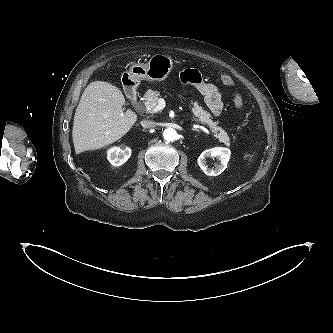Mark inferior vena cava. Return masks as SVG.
Masks as SVG:
<instances>
[{"label": "inferior vena cava", "instance_id": "obj_1", "mask_svg": "<svg viewBox=\"0 0 333 333\" xmlns=\"http://www.w3.org/2000/svg\"><path fill=\"white\" fill-rule=\"evenodd\" d=\"M141 125L144 128H153V127H155L156 124H155V122H153L151 120L144 119L141 121Z\"/></svg>", "mask_w": 333, "mask_h": 333}]
</instances>
